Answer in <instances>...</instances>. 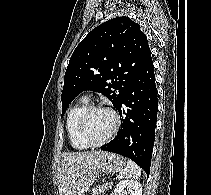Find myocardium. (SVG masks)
I'll return each instance as SVG.
<instances>
[{"label": "myocardium", "instance_id": "1", "mask_svg": "<svg viewBox=\"0 0 211 195\" xmlns=\"http://www.w3.org/2000/svg\"><path fill=\"white\" fill-rule=\"evenodd\" d=\"M98 110H104V111L111 113V115L114 118V126L106 138H104L103 140H101L99 142H90L87 140V138L84 134V126H85V122H86L87 118L89 117V115L91 113H93L94 111H98ZM120 125H121L120 117H119L118 113L113 108L106 106V105H90L83 111V113L80 115V117L78 119L77 133H78L80 140L87 147H100V146L107 144L109 141H111L114 138V136L116 135V133L118 132V130L120 128Z\"/></svg>", "mask_w": 211, "mask_h": 195}]
</instances>
